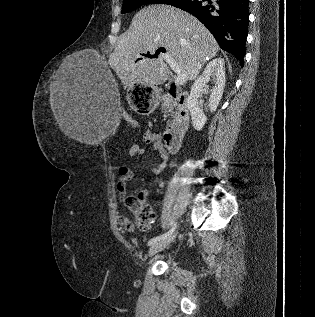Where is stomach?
<instances>
[{
  "instance_id": "1",
  "label": "stomach",
  "mask_w": 315,
  "mask_h": 317,
  "mask_svg": "<svg viewBox=\"0 0 315 317\" xmlns=\"http://www.w3.org/2000/svg\"><path fill=\"white\" fill-rule=\"evenodd\" d=\"M129 95H131V108H135V114H156L158 97L154 84H129Z\"/></svg>"
}]
</instances>
